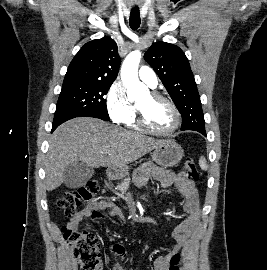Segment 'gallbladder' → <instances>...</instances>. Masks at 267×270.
I'll list each match as a JSON object with an SVG mask.
<instances>
[{
	"label": "gallbladder",
	"instance_id": "gallbladder-1",
	"mask_svg": "<svg viewBox=\"0 0 267 270\" xmlns=\"http://www.w3.org/2000/svg\"><path fill=\"white\" fill-rule=\"evenodd\" d=\"M63 175L66 187L78 188L91 179L94 169L82 162H75L65 168Z\"/></svg>",
	"mask_w": 267,
	"mask_h": 270
}]
</instances>
